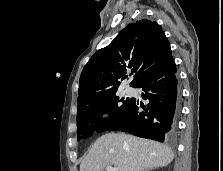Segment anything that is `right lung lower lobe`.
Segmentation results:
<instances>
[{
    "mask_svg": "<svg viewBox=\"0 0 223 171\" xmlns=\"http://www.w3.org/2000/svg\"><path fill=\"white\" fill-rule=\"evenodd\" d=\"M173 58L161 69L144 79L137 88H142V98L148 100L145 111L138 112V102L133 100L125 115L105 131H124L135 136L170 141L176 131L178 114V91Z\"/></svg>",
    "mask_w": 223,
    "mask_h": 171,
    "instance_id": "right-lung-lower-lobe-1",
    "label": "right lung lower lobe"
}]
</instances>
